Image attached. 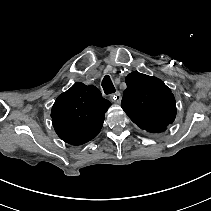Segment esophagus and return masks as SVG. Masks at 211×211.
Listing matches in <instances>:
<instances>
[{
	"label": "esophagus",
	"instance_id": "1",
	"mask_svg": "<svg viewBox=\"0 0 211 211\" xmlns=\"http://www.w3.org/2000/svg\"><path fill=\"white\" fill-rule=\"evenodd\" d=\"M110 98L116 104H120L122 100V97L119 91H116L113 95L110 96Z\"/></svg>",
	"mask_w": 211,
	"mask_h": 211
}]
</instances>
